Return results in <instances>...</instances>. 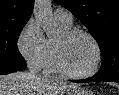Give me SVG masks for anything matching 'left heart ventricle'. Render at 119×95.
Instances as JSON below:
<instances>
[{"label":"left heart ventricle","mask_w":119,"mask_h":95,"mask_svg":"<svg viewBox=\"0 0 119 95\" xmlns=\"http://www.w3.org/2000/svg\"><path fill=\"white\" fill-rule=\"evenodd\" d=\"M57 41L62 43L64 61L70 70L84 73L94 66L96 49L88 37L77 35L64 40L62 34Z\"/></svg>","instance_id":"1"}]
</instances>
